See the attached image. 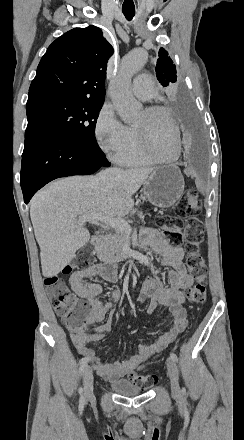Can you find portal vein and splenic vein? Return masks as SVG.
<instances>
[{
	"label": "portal vein and splenic vein",
	"mask_w": 244,
	"mask_h": 440,
	"mask_svg": "<svg viewBox=\"0 0 244 440\" xmlns=\"http://www.w3.org/2000/svg\"><path fill=\"white\" fill-rule=\"evenodd\" d=\"M78 224L83 226L85 222H94V224H106L110 228H115V230H123V232H131L132 228L124 218H106L103 214H85V216H78Z\"/></svg>",
	"instance_id": "portal-vein-and-splenic-vein-1"
}]
</instances>
